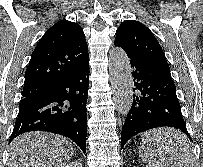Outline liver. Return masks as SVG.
<instances>
[{
  "instance_id": "obj_1",
  "label": "liver",
  "mask_w": 203,
  "mask_h": 167,
  "mask_svg": "<svg viewBox=\"0 0 203 167\" xmlns=\"http://www.w3.org/2000/svg\"><path fill=\"white\" fill-rule=\"evenodd\" d=\"M180 132L170 128L151 130L143 135L163 158L164 148ZM74 149L67 138L47 132L35 131L15 138L9 148L7 167H66ZM184 162L172 164L182 166Z\"/></svg>"
}]
</instances>
